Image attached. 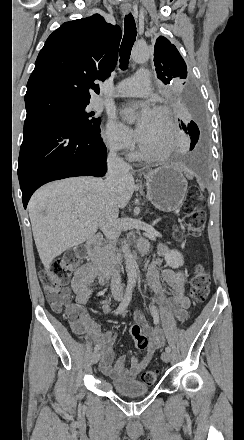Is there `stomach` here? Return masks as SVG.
<instances>
[{"mask_svg":"<svg viewBox=\"0 0 244 440\" xmlns=\"http://www.w3.org/2000/svg\"><path fill=\"white\" fill-rule=\"evenodd\" d=\"M147 198L161 212H174L182 206L188 182L174 166H161L145 174Z\"/></svg>","mask_w":244,"mask_h":440,"instance_id":"obj_1","label":"stomach"}]
</instances>
